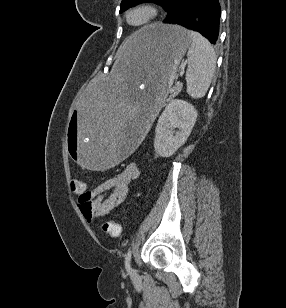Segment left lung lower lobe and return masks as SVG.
<instances>
[{
	"label": "left lung lower lobe",
	"mask_w": 286,
	"mask_h": 308,
	"mask_svg": "<svg viewBox=\"0 0 286 308\" xmlns=\"http://www.w3.org/2000/svg\"><path fill=\"white\" fill-rule=\"evenodd\" d=\"M220 14L218 0H172L163 22L197 31L215 44L218 40Z\"/></svg>",
	"instance_id": "obj_1"
}]
</instances>
